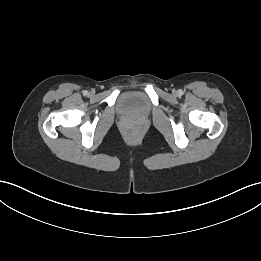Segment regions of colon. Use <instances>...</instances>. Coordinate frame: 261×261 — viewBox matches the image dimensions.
I'll return each mask as SVG.
<instances>
[{
    "label": "colon",
    "mask_w": 261,
    "mask_h": 261,
    "mask_svg": "<svg viewBox=\"0 0 261 261\" xmlns=\"http://www.w3.org/2000/svg\"><path fill=\"white\" fill-rule=\"evenodd\" d=\"M136 134L135 133H132V136H135Z\"/></svg>",
    "instance_id": "colon-1"
}]
</instances>
